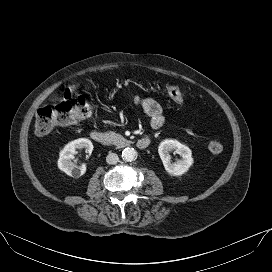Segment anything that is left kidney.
I'll use <instances>...</instances> for the list:
<instances>
[{
	"label": "left kidney",
	"instance_id": "obj_1",
	"mask_svg": "<svg viewBox=\"0 0 272 272\" xmlns=\"http://www.w3.org/2000/svg\"><path fill=\"white\" fill-rule=\"evenodd\" d=\"M175 151L182 159L171 163L169 152ZM158 153L165 170L173 176H181L186 173L193 164L191 149L177 140H164L159 144Z\"/></svg>",
	"mask_w": 272,
	"mask_h": 272
}]
</instances>
